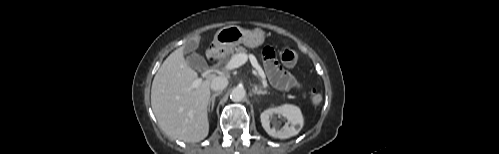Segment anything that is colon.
I'll list each match as a JSON object with an SVG mask.
<instances>
[{"instance_id":"5ec220e1","label":"colon","mask_w":499,"mask_h":154,"mask_svg":"<svg viewBox=\"0 0 499 154\" xmlns=\"http://www.w3.org/2000/svg\"><path fill=\"white\" fill-rule=\"evenodd\" d=\"M281 60L287 66L295 65L299 60V53L291 47L285 48L281 53ZM310 101L314 105H318L322 101V94L318 90L310 92Z\"/></svg>"}]
</instances>
